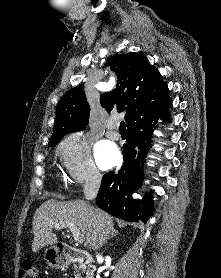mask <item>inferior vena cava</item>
I'll return each instance as SVG.
<instances>
[{
	"label": "inferior vena cava",
	"mask_w": 221,
	"mask_h": 278,
	"mask_svg": "<svg viewBox=\"0 0 221 278\" xmlns=\"http://www.w3.org/2000/svg\"><path fill=\"white\" fill-rule=\"evenodd\" d=\"M101 174L96 170H91L89 177L84 185V195L86 199L93 200L97 196L100 183H101Z\"/></svg>",
	"instance_id": "602c4592"
}]
</instances>
